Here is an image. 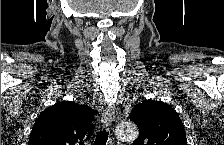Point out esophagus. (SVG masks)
Segmentation results:
<instances>
[{
  "mask_svg": "<svg viewBox=\"0 0 224 145\" xmlns=\"http://www.w3.org/2000/svg\"><path fill=\"white\" fill-rule=\"evenodd\" d=\"M115 117V110H114V106L109 105L107 107V109L104 111V113L102 114V123L103 126L107 129H109L112 120Z\"/></svg>",
  "mask_w": 224,
  "mask_h": 145,
  "instance_id": "obj_1",
  "label": "esophagus"
}]
</instances>
